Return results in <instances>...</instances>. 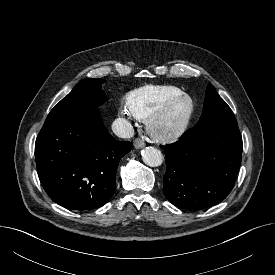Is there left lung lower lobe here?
Instances as JSON below:
<instances>
[{
	"mask_svg": "<svg viewBox=\"0 0 275 275\" xmlns=\"http://www.w3.org/2000/svg\"><path fill=\"white\" fill-rule=\"evenodd\" d=\"M161 148L167 166L163 192L173 205L204 209L222 202L233 189L243 150L240 132L209 133L196 127Z\"/></svg>",
	"mask_w": 275,
	"mask_h": 275,
	"instance_id": "0a47b994",
	"label": "left lung lower lobe"
}]
</instances>
